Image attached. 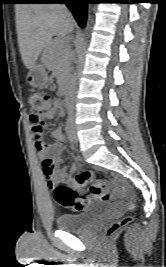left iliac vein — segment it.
Listing matches in <instances>:
<instances>
[{"mask_svg": "<svg viewBox=\"0 0 166 267\" xmlns=\"http://www.w3.org/2000/svg\"><path fill=\"white\" fill-rule=\"evenodd\" d=\"M72 130H73L74 139L77 141V136H76V131H75L74 124H72Z\"/></svg>", "mask_w": 166, "mask_h": 267, "instance_id": "4c4485c4", "label": "left iliac vein"}]
</instances>
